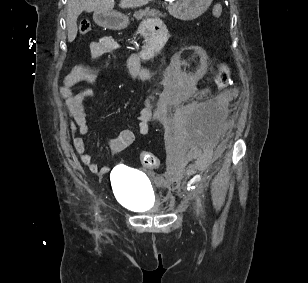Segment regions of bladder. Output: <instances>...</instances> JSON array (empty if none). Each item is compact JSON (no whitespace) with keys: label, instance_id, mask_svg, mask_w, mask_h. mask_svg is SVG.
<instances>
[{"label":"bladder","instance_id":"obj_1","mask_svg":"<svg viewBox=\"0 0 308 283\" xmlns=\"http://www.w3.org/2000/svg\"><path fill=\"white\" fill-rule=\"evenodd\" d=\"M111 184L117 200L135 211H157V199L148 177L134 169L118 166L111 172Z\"/></svg>","mask_w":308,"mask_h":283}]
</instances>
